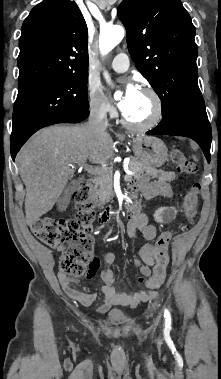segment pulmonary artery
Instances as JSON below:
<instances>
[{
	"mask_svg": "<svg viewBox=\"0 0 221 379\" xmlns=\"http://www.w3.org/2000/svg\"><path fill=\"white\" fill-rule=\"evenodd\" d=\"M111 68L116 72H125L129 68V58L125 53L117 54L112 63Z\"/></svg>",
	"mask_w": 221,
	"mask_h": 379,
	"instance_id": "1",
	"label": "pulmonary artery"
}]
</instances>
